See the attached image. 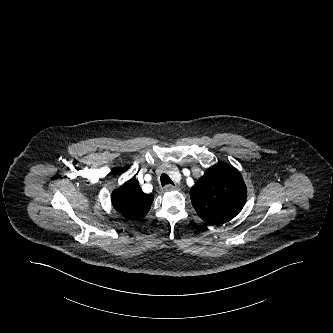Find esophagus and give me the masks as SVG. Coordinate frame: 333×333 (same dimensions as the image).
I'll list each match as a JSON object with an SVG mask.
<instances>
[{"instance_id":"esophagus-1","label":"esophagus","mask_w":333,"mask_h":333,"mask_svg":"<svg viewBox=\"0 0 333 333\" xmlns=\"http://www.w3.org/2000/svg\"><path fill=\"white\" fill-rule=\"evenodd\" d=\"M164 190L165 191H176V190H178V187L176 185L168 184L164 187Z\"/></svg>"}]
</instances>
